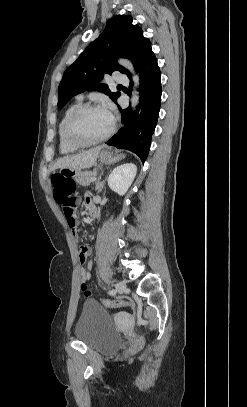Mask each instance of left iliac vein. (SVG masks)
<instances>
[{
	"instance_id": "4c4485c4",
	"label": "left iliac vein",
	"mask_w": 247,
	"mask_h": 407,
	"mask_svg": "<svg viewBox=\"0 0 247 407\" xmlns=\"http://www.w3.org/2000/svg\"><path fill=\"white\" fill-rule=\"evenodd\" d=\"M115 288H116V290L119 292V293H125V292H127V285L124 283V282H119V283H117L116 285H115Z\"/></svg>"
}]
</instances>
